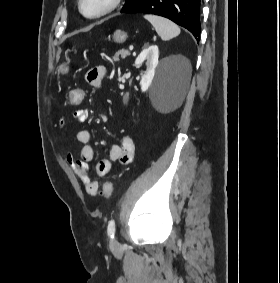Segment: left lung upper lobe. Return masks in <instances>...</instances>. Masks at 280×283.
<instances>
[{
  "label": "left lung upper lobe",
  "instance_id": "1",
  "mask_svg": "<svg viewBox=\"0 0 280 283\" xmlns=\"http://www.w3.org/2000/svg\"><path fill=\"white\" fill-rule=\"evenodd\" d=\"M137 0H125V5L122 10H126L129 8L132 4H134Z\"/></svg>",
  "mask_w": 280,
  "mask_h": 283
}]
</instances>
